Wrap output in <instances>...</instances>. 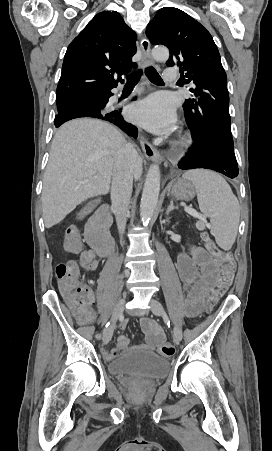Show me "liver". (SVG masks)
Wrapping results in <instances>:
<instances>
[{
  "label": "liver",
  "mask_w": 272,
  "mask_h": 451,
  "mask_svg": "<svg viewBox=\"0 0 272 451\" xmlns=\"http://www.w3.org/2000/svg\"><path fill=\"white\" fill-rule=\"evenodd\" d=\"M124 144L119 130L102 120L79 118L59 128L43 180L45 227L59 224L88 198L108 194L114 158ZM142 170V158H138L134 180H139Z\"/></svg>",
  "instance_id": "obj_1"
}]
</instances>
